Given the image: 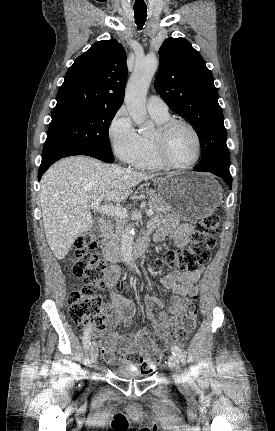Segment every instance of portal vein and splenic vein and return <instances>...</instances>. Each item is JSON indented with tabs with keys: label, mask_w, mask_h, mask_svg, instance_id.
<instances>
[{
	"label": "portal vein and splenic vein",
	"mask_w": 275,
	"mask_h": 431,
	"mask_svg": "<svg viewBox=\"0 0 275 431\" xmlns=\"http://www.w3.org/2000/svg\"><path fill=\"white\" fill-rule=\"evenodd\" d=\"M104 195H100V197L93 201L91 203V209L103 214H108V215H112V216H116L118 218H126L127 217V209L126 208H122V207H116V206H112V205H100L101 200L103 199ZM147 215L148 216H152L153 215V210L149 209L147 211Z\"/></svg>",
	"instance_id": "18ae733b"
}]
</instances>
